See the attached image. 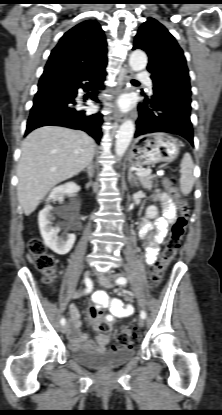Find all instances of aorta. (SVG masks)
<instances>
[{
    "instance_id": "1",
    "label": "aorta",
    "mask_w": 222,
    "mask_h": 415,
    "mask_svg": "<svg viewBox=\"0 0 222 415\" xmlns=\"http://www.w3.org/2000/svg\"><path fill=\"white\" fill-rule=\"evenodd\" d=\"M129 65L133 71H141L147 66V56L142 50H135L129 58ZM135 126L133 121L126 120L117 131L115 152L122 156L127 150L134 135Z\"/></svg>"
}]
</instances>
